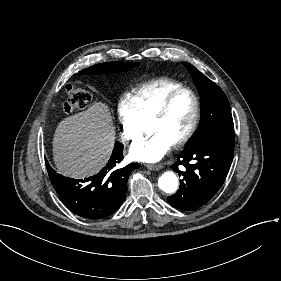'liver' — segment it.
<instances>
[{
	"mask_svg": "<svg viewBox=\"0 0 281 281\" xmlns=\"http://www.w3.org/2000/svg\"><path fill=\"white\" fill-rule=\"evenodd\" d=\"M115 134L111 113L101 102L66 117L58 124L53 138L56 168L72 178L98 173L111 156Z\"/></svg>",
	"mask_w": 281,
	"mask_h": 281,
	"instance_id": "6515ba94",
	"label": "liver"
}]
</instances>
